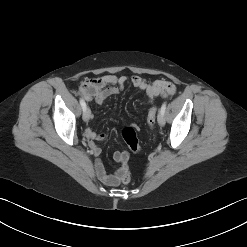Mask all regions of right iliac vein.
Returning <instances> with one entry per match:
<instances>
[{
    "label": "right iliac vein",
    "instance_id": "1",
    "mask_svg": "<svg viewBox=\"0 0 247 247\" xmlns=\"http://www.w3.org/2000/svg\"><path fill=\"white\" fill-rule=\"evenodd\" d=\"M90 117H91V111L89 108H86V110L83 113V120L85 122H88L90 120Z\"/></svg>",
    "mask_w": 247,
    "mask_h": 247
}]
</instances>
